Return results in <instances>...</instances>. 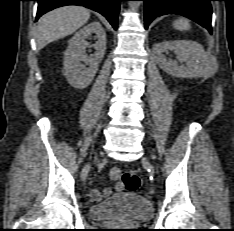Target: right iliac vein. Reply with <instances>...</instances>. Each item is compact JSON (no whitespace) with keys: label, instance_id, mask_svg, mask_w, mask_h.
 I'll return each instance as SVG.
<instances>
[{"label":"right iliac vein","instance_id":"63e3f726","mask_svg":"<svg viewBox=\"0 0 234 231\" xmlns=\"http://www.w3.org/2000/svg\"><path fill=\"white\" fill-rule=\"evenodd\" d=\"M89 170H90V166H89V165H86V166L83 168V170H82V172H81V180H82V181H84V180L86 179Z\"/></svg>","mask_w":234,"mask_h":231}]
</instances>
